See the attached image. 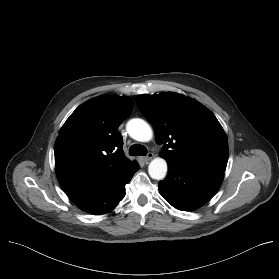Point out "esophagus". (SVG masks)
I'll list each match as a JSON object with an SVG mask.
<instances>
[{
    "instance_id": "esophagus-1",
    "label": "esophagus",
    "mask_w": 279,
    "mask_h": 279,
    "mask_svg": "<svg viewBox=\"0 0 279 279\" xmlns=\"http://www.w3.org/2000/svg\"><path fill=\"white\" fill-rule=\"evenodd\" d=\"M153 157H154V154L149 152L145 157H143V161L148 162V161L152 160Z\"/></svg>"
}]
</instances>
